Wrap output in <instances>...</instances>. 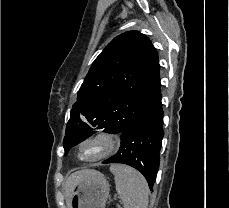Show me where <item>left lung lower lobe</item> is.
Here are the masks:
<instances>
[{
    "instance_id": "0a47b994",
    "label": "left lung lower lobe",
    "mask_w": 229,
    "mask_h": 208,
    "mask_svg": "<svg viewBox=\"0 0 229 208\" xmlns=\"http://www.w3.org/2000/svg\"><path fill=\"white\" fill-rule=\"evenodd\" d=\"M161 99L136 117L121 133V147L116 155L103 161L134 167L146 178L152 190L159 169V152L164 136Z\"/></svg>"
}]
</instances>
